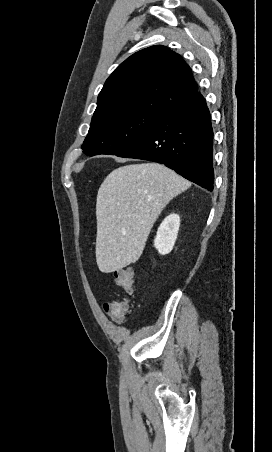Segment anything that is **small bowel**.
Here are the masks:
<instances>
[{"label": "small bowel", "mask_w": 272, "mask_h": 452, "mask_svg": "<svg viewBox=\"0 0 272 452\" xmlns=\"http://www.w3.org/2000/svg\"><path fill=\"white\" fill-rule=\"evenodd\" d=\"M107 303L104 304L103 308L105 310L106 313H108L109 315H111L112 319L117 322V323H122L125 320V316H121V315H117L115 313H110L107 308H106Z\"/></svg>", "instance_id": "1"}]
</instances>
